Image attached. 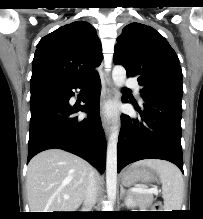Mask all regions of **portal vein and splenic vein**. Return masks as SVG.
<instances>
[{
  "instance_id": "18ae733b",
  "label": "portal vein and splenic vein",
  "mask_w": 203,
  "mask_h": 219,
  "mask_svg": "<svg viewBox=\"0 0 203 219\" xmlns=\"http://www.w3.org/2000/svg\"><path fill=\"white\" fill-rule=\"evenodd\" d=\"M132 192L140 193V194H158V190L155 188L145 189L141 187H135L130 189ZM64 199H69V196H64Z\"/></svg>"
}]
</instances>
